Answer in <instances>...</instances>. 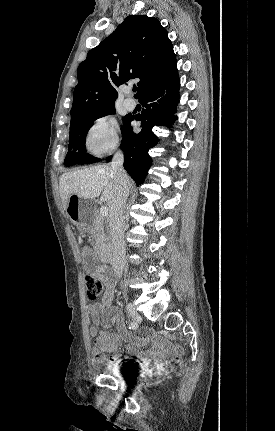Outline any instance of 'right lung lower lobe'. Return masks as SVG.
I'll use <instances>...</instances> for the list:
<instances>
[{"mask_svg": "<svg viewBox=\"0 0 275 431\" xmlns=\"http://www.w3.org/2000/svg\"><path fill=\"white\" fill-rule=\"evenodd\" d=\"M179 88L180 79L176 69L162 83L139 98L146 109L129 118L121 148L124 151V168L137 185L143 183L151 165L148 151L158 142L152 128L159 125L171 126L179 99ZM133 120L141 121L142 130L138 134L132 131Z\"/></svg>", "mask_w": 275, "mask_h": 431, "instance_id": "obj_1", "label": "right lung lower lobe"}]
</instances>
